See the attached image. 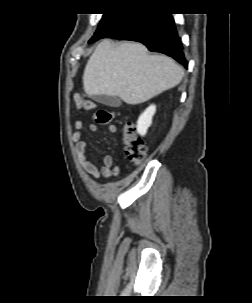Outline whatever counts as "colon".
I'll list each match as a JSON object with an SVG mask.
<instances>
[{"label": "colon", "instance_id": "5ec220e1", "mask_svg": "<svg viewBox=\"0 0 252 303\" xmlns=\"http://www.w3.org/2000/svg\"><path fill=\"white\" fill-rule=\"evenodd\" d=\"M75 105L78 109L85 110L95 107L94 102L84 101L80 96L75 97ZM113 119L114 113L106 109L97 110L94 116L95 122L102 125L112 122ZM122 140L128 159L133 163L141 162L146 155V150L142 139L138 136L136 128L132 123H128L124 127Z\"/></svg>", "mask_w": 252, "mask_h": 303}]
</instances>
